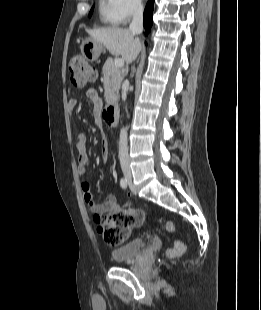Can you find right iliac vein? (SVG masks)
Returning <instances> with one entry per match:
<instances>
[{
  "label": "right iliac vein",
  "mask_w": 261,
  "mask_h": 310,
  "mask_svg": "<svg viewBox=\"0 0 261 310\" xmlns=\"http://www.w3.org/2000/svg\"><path fill=\"white\" fill-rule=\"evenodd\" d=\"M123 172H124V175L127 177V178H130L131 177V172H130V170L129 169H124L123 170Z\"/></svg>",
  "instance_id": "right-iliac-vein-1"
}]
</instances>
